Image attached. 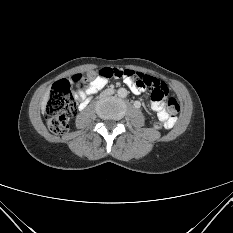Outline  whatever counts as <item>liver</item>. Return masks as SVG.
I'll use <instances>...</instances> for the list:
<instances>
[{"label":"liver","instance_id":"obj_1","mask_svg":"<svg viewBox=\"0 0 233 233\" xmlns=\"http://www.w3.org/2000/svg\"><path fill=\"white\" fill-rule=\"evenodd\" d=\"M49 89L48 91L45 93V95L43 96V99H42V102H41V109H42V112H44L45 110V107H46V104H47V101H48V98H49Z\"/></svg>","mask_w":233,"mask_h":233}]
</instances>
